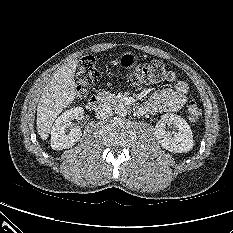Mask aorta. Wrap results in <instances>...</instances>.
<instances>
[{"instance_id":"aorta-1","label":"aorta","mask_w":233,"mask_h":233,"mask_svg":"<svg viewBox=\"0 0 233 233\" xmlns=\"http://www.w3.org/2000/svg\"><path fill=\"white\" fill-rule=\"evenodd\" d=\"M115 114L117 116H125L127 114V109L124 105H118L115 107Z\"/></svg>"}]
</instances>
